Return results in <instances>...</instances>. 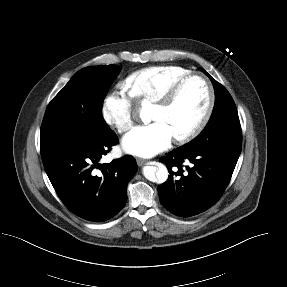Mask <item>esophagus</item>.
Returning a JSON list of instances; mask_svg holds the SVG:
<instances>
[{
  "instance_id": "esophagus-1",
  "label": "esophagus",
  "mask_w": 287,
  "mask_h": 287,
  "mask_svg": "<svg viewBox=\"0 0 287 287\" xmlns=\"http://www.w3.org/2000/svg\"><path fill=\"white\" fill-rule=\"evenodd\" d=\"M146 163H147L146 160L141 159V158H137V164H138L139 166H143V165H145Z\"/></svg>"
}]
</instances>
